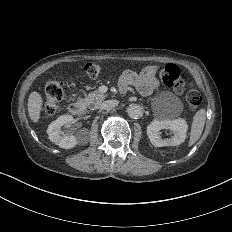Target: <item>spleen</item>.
Wrapping results in <instances>:
<instances>
[{
  "label": "spleen",
  "instance_id": "spleen-1",
  "mask_svg": "<svg viewBox=\"0 0 232 232\" xmlns=\"http://www.w3.org/2000/svg\"><path fill=\"white\" fill-rule=\"evenodd\" d=\"M205 120H206V111L205 109H200L199 111L196 112V114L193 117L189 146L195 144V142H197L201 137L205 125Z\"/></svg>",
  "mask_w": 232,
  "mask_h": 232
}]
</instances>
